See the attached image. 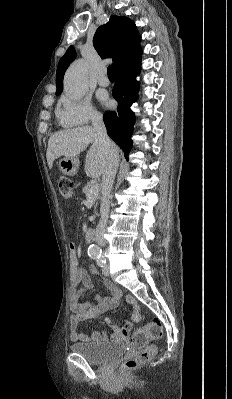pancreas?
Listing matches in <instances>:
<instances>
[{
	"label": "pancreas",
	"mask_w": 232,
	"mask_h": 399,
	"mask_svg": "<svg viewBox=\"0 0 232 399\" xmlns=\"http://www.w3.org/2000/svg\"><path fill=\"white\" fill-rule=\"evenodd\" d=\"M94 184H91V182H87V184H85L84 188H83V194H85V196H90L89 192L91 190V188H93ZM94 200L96 201V205H97V200H99V194H97V196H94Z\"/></svg>",
	"instance_id": "pancreas-1"
}]
</instances>
